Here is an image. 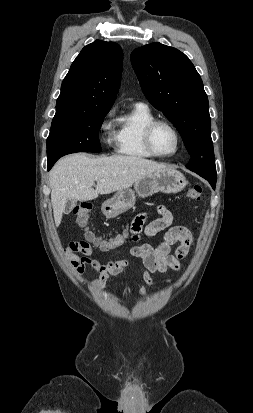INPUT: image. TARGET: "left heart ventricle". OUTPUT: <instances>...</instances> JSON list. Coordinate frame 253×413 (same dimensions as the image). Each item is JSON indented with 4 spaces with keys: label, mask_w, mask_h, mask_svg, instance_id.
<instances>
[{
    "label": "left heart ventricle",
    "mask_w": 253,
    "mask_h": 413,
    "mask_svg": "<svg viewBox=\"0 0 253 413\" xmlns=\"http://www.w3.org/2000/svg\"><path fill=\"white\" fill-rule=\"evenodd\" d=\"M153 144L159 153L171 154L176 148V137L169 127L159 125L153 133Z\"/></svg>",
    "instance_id": "b2bd125f"
}]
</instances>
